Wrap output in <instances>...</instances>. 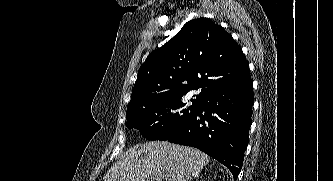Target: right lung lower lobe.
I'll return each instance as SVG.
<instances>
[{"label":"right lung lower lobe","instance_id":"98d812e1","mask_svg":"<svg viewBox=\"0 0 333 181\" xmlns=\"http://www.w3.org/2000/svg\"><path fill=\"white\" fill-rule=\"evenodd\" d=\"M253 104L251 78L213 91L199 101L194 116L167 140L202 150L225 165L236 180L248 145Z\"/></svg>","mask_w":333,"mask_h":181}]
</instances>
